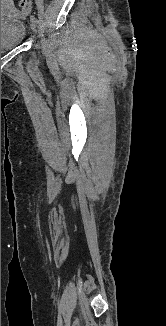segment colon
<instances>
[{
  "label": "colon",
  "mask_w": 166,
  "mask_h": 326,
  "mask_svg": "<svg viewBox=\"0 0 166 326\" xmlns=\"http://www.w3.org/2000/svg\"><path fill=\"white\" fill-rule=\"evenodd\" d=\"M19 7L22 11L26 12L29 8V4L26 0H20Z\"/></svg>",
  "instance_id": "obj_1"
}]
</instances>
